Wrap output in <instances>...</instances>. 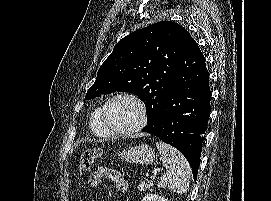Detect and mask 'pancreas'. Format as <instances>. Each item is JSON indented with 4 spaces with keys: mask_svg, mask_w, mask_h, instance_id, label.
Wrapping results in <instances>:
<instances>
[{
    "mask_svg": "<svg viewBox=\"0 0 271 201\" xmlns=\"http://www.w3.org/2000/svg\"><path fill=\"white\" fill-rule=\"evenodd\" d=\"M153 186V182L152 181H141L140 184L138 185V190L140 192L142 191H146L148 189H150Z\"/></svg>",
    "mask_w": 271,
    "mask_h": 201,
    "instance_id": "obj_1",
    "label": "pancreas"
}]
</instances>
